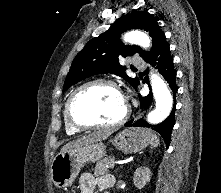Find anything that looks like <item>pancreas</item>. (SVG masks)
<instances>
[{"label": "pancreas", "mask_w": 221, "mask_h": 193, "mask_svg": "<svg viewBox=\"0 0 221 193\" xmlns=\"http://www.w3.org/2000/svg\"><path fill=\"white\" fill-rule=\"evenodd\" d=\"M113 160V158L109 157L104 158L103 160L98 162L94 169V175L98 177L107 174L109 172L110 164Z\"/></svg>", "instance_id": "cf45deb5"}]
</instances>
